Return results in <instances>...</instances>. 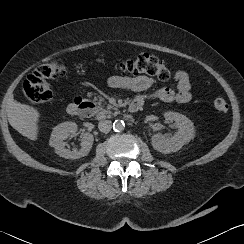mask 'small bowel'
<instances>
[{"label": "small bowel", "instance_id": "1", "mask_svg": "<svg viewBox=\"0 0 244 244\" xmlns=\"http://www.w3.org/2000/svg\"><path fill=\"white\" fill-rule=\"evenodd\" d=\"M110 82L115 87L128 89L136 93L131 102L136 110H140L143 104L150 100L186 103L191 99V84L185 73L180 74L175 88L165 86L151 90L153 80L146 76H115Z\"/></svg>", "mask_w": 244, "mask_h": 244}]
</instances>
